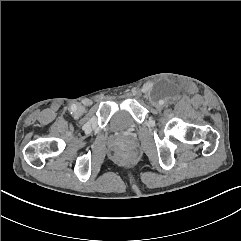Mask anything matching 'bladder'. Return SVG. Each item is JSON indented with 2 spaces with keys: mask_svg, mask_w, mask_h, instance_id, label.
Here are the masks:
<instances>
[{
  "mask_svg": "<svg viewBox=\"0 0 241 241\" xmlns=\"http://www.w3.org/2000/svg\"><path fill=\"white\" fill-rule=\"evenodd\" d=\"M132 115L123 109H118L110 118L109 128L114 132L131 131L135 127Z\"/></svg>",
  "mask_w": 241,
  "mask_h": 241,
  "instance_id": "31cf9c89",
  "label": "bladder"
}]
</instances>
